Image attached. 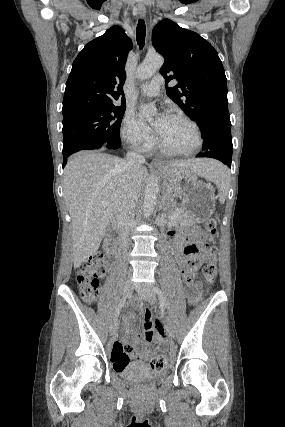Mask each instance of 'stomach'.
I'll use <instances>...</instances> for the list:
<instances>
[{"mask_svg": "<svg viewBox=\"0 0 285 427\" xmlns=\"http://www.w3.org/2000/svg\"><path fill=\"white\" fill-rule=\"evenodd\" d=\"M161 171L172 192L182 200L188 220L202 223L211 217L216 199L211 186L199 181L197 174L189 168L166 164Z\"/></svg>", "mask_w": 285, "mask_h": 427, "instance_id": "obj_1", "label": "stomach"}]
</instances>
